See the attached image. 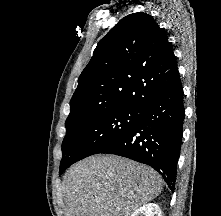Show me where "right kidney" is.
<instances>
[{
  "mask_svg": "<svg viewBox=\"0 0 221 216\" xmlns=\"http://www.w3.org/2000/svg\"><path fill=\"white\" fill-rule=\"evenodd\" d=\"M131 216H162V212L157 204L149 203L135 210Z\"/></svg>",
  "mask_w": 221,
  "mask_h": 216,
  "instance_id": "1",
  "label": "right kidney"
}]
</instances>
